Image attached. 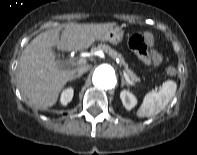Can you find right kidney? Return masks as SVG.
Instances as JSON below:
<instances>
[{
  "label": "right kidney",
  "instance_id": "ca27d5eb",
  "mask_svg": "<svg viewBox=\"0 0 197 155\" xmlns=\"http://www.w3.org/2000/svg\"><path fill=\"white\" fill-rule=\"evenodd\" d=\"M73 95H74L73 88L69 87L63 90L60 97V103L64 106L67 105L72 100Z\"/></svg>",
  "mask_w": 197,
  "mask_h": 155
}]
</instances>
